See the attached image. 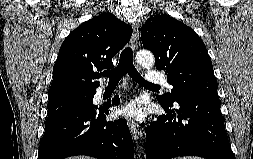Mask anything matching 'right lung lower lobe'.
I'll return each instance as SVG.
<instances>
[{
  "label": "right lung lower lobe",
  "mask_w": 253,
  "mask_h": 159,
  "mask_svg": "<svg viewBox=\"0 0 253 159\" xmlns=\"http://www.w3.org/2000/svg\"><path fill=\"white\" fill-rule=\"evenodd\" d=\"M120 103L119 96L112 99ZM111 101L75 109L45 126L38 159L87 155L98 159H134L132 137L125 119L106 121Z\"/></svg>",
  "instance_id": "1"
}]
</instances>
